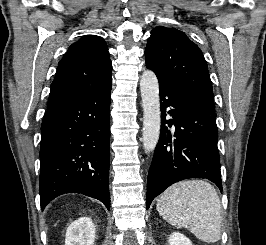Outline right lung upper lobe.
Segmentation results:
<instances>
[{"label":"right lung upper lobe","instance_id":"obj_1","mask_svg":"<svg viewBox=\"0 0 266 245\" xmlns=\"http://www.w3.org/2000/svg\"><path fill=\"white\" fill-rule=\"evenodd\" d=\"M112 65L105 41L86 35L72 44L59 62L47 108L54 107L84 89L112 83Z\"/></svg>","mask_w":266,"mask_h":245}]
</instances>
